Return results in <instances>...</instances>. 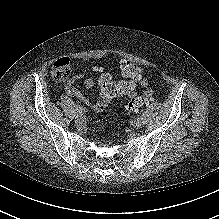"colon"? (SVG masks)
Masks as SVG:
<instances>
[{
  "instance_id": "5ec220e1",
  "label": "colon",
  "mask_w": 219,
  "mask_h": 219,
  "mask_svg": "<svg viewBox=\"0 0 219 219\" xmlns=\"http://www.w3.org/2000/svg\"><path fill=\"white\" fill-rule=\"evenodd\" d=\"M120 70L125 78L115 82L108 73H101L98 78V84L101 90L103 107L112 99L126 96L128 98L124 108L128 115L134 114L140 107L148 103L150 93L136 95L134 90L141 79V69L130 61H123L120 64ZM71 73V63L68 58L58 59L52 66L51 74L55 81H65Z\"/></svg>"
}]
</instances>
